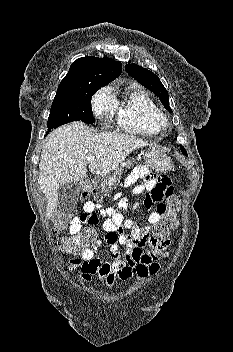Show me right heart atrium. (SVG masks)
Here are the masks:
<instances>
[{
	"label": "right heart atrium",
	"mask_w": 233,
	"mask_h": 352,
	"mask_svg": "<svg viewBox=\"0 0 233 352\" xmlns=\"http://www.w3.org/2000/svg\"><path fill=\"white\" fill-rule=\"evenodd\" d=\"M117 109V100L110 87L101 88L92 98L94 115L102 120H109Z\"/></svg>",
	"instance_id": "obj_1"
}]
</instances>
